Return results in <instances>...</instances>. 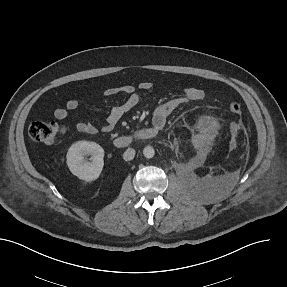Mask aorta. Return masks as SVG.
Returning <instances> with one entry per match:
<instances>
[{"label": "aorta", "instance_id": "762f6f07", "mask_svg": "<svg viewBox=\"0 0 287 287\" xmlns=\"http://www.w3.org/2000/svg\"><path fill=\"white\" fill-rule=\"evenodd\" d=\"M143 154L146 158H152L155 154L154 148L152 146H146L143 149Z\"/></svg>", "mask_w": 287, "mask_h": 287}]
</instances>
